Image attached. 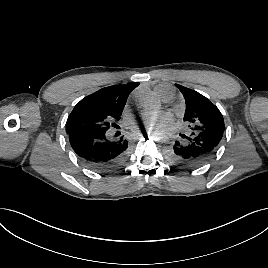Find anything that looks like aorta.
<instances>
[{
    "label": "aorta",
    "instance_id": "aorta-1",
    "mask_svg": "<svg viewBox=\"0 0 268 268\" xmlns=\"http://www.w3.org/2000/svg\"><path fill=\"white\" fill-rule=\"evenodd\" d=\"M142 104L146 108H156L157 101L153 97H145L142 99ZM154 139L157 143L162 144L166 141L167 136L164 132L159 131L155 134Z\"/></svg>",
    "mask_w": 268,
    "mask_h": 268
}]
</instances>
